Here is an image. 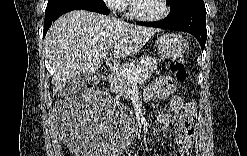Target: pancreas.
Returning a JSON list of instances; mask_svg holds the SVG:
<instances>
[{
	"instance_id": "1",
	"label": "pancreas",
	"mask_w": 247,
	"mask_h": 156,
	"mask_svg": "<svg viewBox=\"0 0 247 156\" xmlns=\"http://www.w3.org/2000/svg\"><path fill=\"white\" fill-rule=\"evenodd\" d=\"M125 67L131 69L133 72H138L139 77L143 80L149 79L154 71L157 69V62L152 57H142L132 64H127ZM111 90L120 96H130V79L123 74L114 72L109 78Z\"/></svg>"
}]
</instances>
